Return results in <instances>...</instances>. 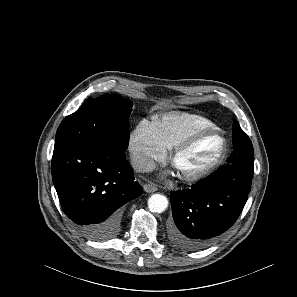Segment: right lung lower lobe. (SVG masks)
Masks as SVG:
<instances>
[{
  "mask_svg": "<svg viewBox=\"0 0 297 297\" xmlns=\"http://www.w3.org/2000/svg\"><path fill=\"white\" fill-rule=\"evenodd\" d=\"M51 168L64 213L79 233L96 241L119 233L122 206L143 190L124 151L101 141L55 145Z\"/></svg>",
  "mask_w": 297,
  "mask_h": 297,
  "instance_id": "obj_1",
  "label": "right lung lower lobe"
}]
</instances>
